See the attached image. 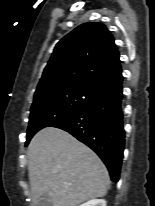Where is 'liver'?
<instances>
[{
  "label": "liver",
  "mask_w": 155,
  "mask_h": 206,
  "mask_svg": "<svg viewBox=\"0 0 155 206\" xmlns=\"http://www.w3.org/2000/svg\"><path fill=\"white\" fill-rule=\"evenodd\" d=\"M32 201L47 195L52 206H78L104 197L110 182L100 158L72 135L46 127L30 141L27 151Z\"/></svg>",
  "instance_id": "obj_1"
}]
</instances>
